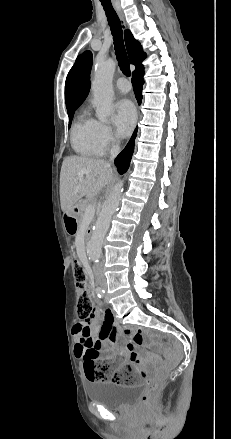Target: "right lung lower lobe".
Wrapping results in <instances>:
<instances>
[{
	"mask_svg": "<svg viewBox=\"0 0 231 439\" xmlns=\"http://www.w3.org/2000/svg\"><path fill=\"white\" fill-rule=\"evenodd\" d=\"M143 75H144V67L142 66L133 72V76H132V80H131L132 85H133V89L135 92V97H136L139 105L141 104V101H142V86L144 83ZM136 135H137V128L135 129V131H134L130 141L126 145V147L123 149V151L115 159V165L118 168V172L120 174H123L124 172H126L129 165H130V160H131V157H132V154L134 151V142H135Z\"/></svg>",
	"mask_w": 231,
	"mask_h": 439,
	"instance_id": "right-lung-lower-lobe-1",
	"label": "right lung lower lobe"
}]
</instances>
